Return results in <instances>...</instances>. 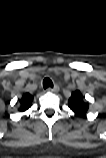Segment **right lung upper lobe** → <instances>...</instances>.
I'll return each mask as SVG.
<instances>
[{
  "label": "right lung upper lobe",
  "mask_w": 106,
  "mask_h": 158,
  "mask_svg": "<svg viewBox=\"0 0 106 158\" xmlns=\"http://www.w3.org/2000/svg\"><path fill=\"white\" fill-rule=\"evenodd\" d=\"M32 101H33V96L30 95L29 93H25L19 101L20 102L19 111L24 112L27 109H29L32 105Z\"/></svg>",
  "instance_id": "obj_1"
}]
</instances>
